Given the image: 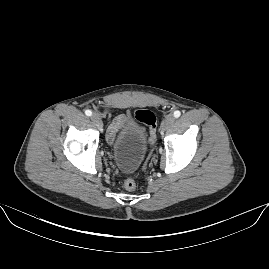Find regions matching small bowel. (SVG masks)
<instances>
[{
  "label": "small bowel",
  "mask_w": 269,
  "mask_h": 269,
  "mask_svg": "<svg viewBox=\"0 0 269 269\" xmlns=\"http://www.w3.org/2000/svg\"><path fill=\"white\" fill-rule=\"evenodd\" d=\"M126 121L125 115H119L113 119L108 129V136L110 139L114 138L119 129L123 126Z\"/></svg>",
  "instance_id": "obj_1"
}]
</instances>
